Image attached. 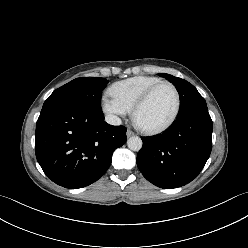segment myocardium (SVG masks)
Wrapping results in <instances>:
<instances>
[{
	"mask_svg": "<svg viewBox=\"0 0 248 248\" xmlns=\"http://www.w3.org/2000/svg\"><path fill=\"white\" fill-rule=\"evenodd\" d=\"M164 85L171 87L174 94H175L176 104H175V109H174L173 114L164 124H162L160 126L147 127V126L142 125L138 121V118H137L140 109L147 103V101L150 99V97L153 95V93L158 88H160L161 86H164ZM180 107H181V97H180V93H179L177 87L169 81H160V82L152 85L149 89H147L142 94V96L137 100V102L135 103L133 110H132L133 121H134L135 125L137 126V128L139 130H141L142 132H144L146 134H150V135L159 134V133L166 131L174 124V122L176 121L178 114L180 112Z\"/></svg>",
	"mask_w": 248,
	"mask_h": 248,
	"instance_id": "myocardium-1",
	"label": "myocardium"
}]
</instances>
